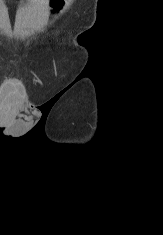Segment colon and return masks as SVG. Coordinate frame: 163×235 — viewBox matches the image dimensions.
<instances>
[{
  "instance_id": "1",
  "label": "colon",
  "mask_w": 163,
  "mask_h": 235,
  "mask_svg": "<svg viewBox=\"0 0 163 235\" xmlns=\"http://www.w3.org/2000/svg\"><path fill=\"white\" fill-rule=\"evenodd\" d=\"M63 4H64V0H51L50 1L51 8L54 12L60 11Z\"/></svg>"
}]
</instances>
